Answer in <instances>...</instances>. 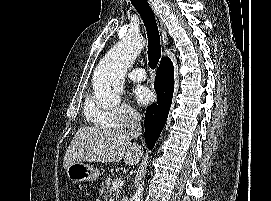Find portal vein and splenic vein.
<instances>
[{
  "label": "portal vein and splenic vein",
  "mask_w": 271,
  "mask_h": 201,
  "mask_svg": "<svg viewBox=\"0 0 271 201\" xmlns=\"http://www.w3.org/2000/svg\"><path fill=\"white\" fill-rule=\"evenodd\" d=\"M123 183H124V180L122 178H117L116 180L113 181L112 186L113 187L122 186Z\"/></svg>",
  "instance_id": "obj_1"
}]
</instances>
